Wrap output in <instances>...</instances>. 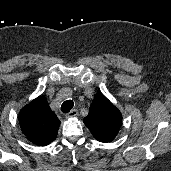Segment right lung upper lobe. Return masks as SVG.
<instances>
[{"label":"right lung upper lobe","mask_w":171,"mask_h":171,"mask_svg":"<svg viewBox=\"0 0 171 171\" xmlns=\"http://www.w3.org/2000/svg\"><path fill=\"white\" fill-rule=\"evenodd\" d=\"M19 123L30 142L45 146L56 139L60 120L50 109L46 97L39 96L22 108Z\"/></svg>","instance_id":"right-lung-upper-lobe-1"}]
</instances>
